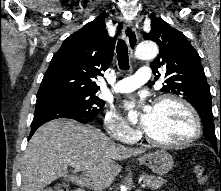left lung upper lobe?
Returning <instances> with one entry per match:
<instances>
[{
  "instance_id": "1",
  "label": "left lung upper lobe",
  "mask_w": 221,
  "mask_h": 191,
  "mask_svg": "<svg viewBox=\"0 0 221 191\" xmlns=\"http://www.w3.org/2000/svg\"><path fill=\"white\" fill-rule=\"evenodd\" d=\"M150 18L151 31L144 34V39L156 42L160 48L150 67L158 73L156 80L161 75L158 68L165 70V85L161 91L182 96L193 105L202 119L205 138L217 151L219 142L215 135L210 88L198 52L181 32L161 18Z\"/></svg>"
}]
</instances>
